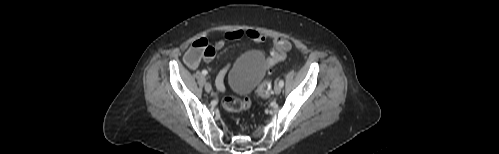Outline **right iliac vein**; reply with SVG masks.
I'll use <instances>...</instances> for the list:
<instances>
[{
  "mask_svg": "<svg viewBox=\"0 0 499 154\" xmlns=\"http://www.w3.org/2000/svg\"><path fill=\"white\" fill-rule=\"evenodd\" d=\"M205 90H206V92H208V93H210V92L212 91V86H211V84H210V83H208V82H207V83L205 84Z\"/></svg>",
  "mask_w": 499,
  "mask_h": 154,
  "instance_id": "1",
  "label": "right iliac vein"
}]
</instances>
